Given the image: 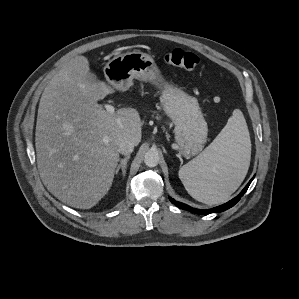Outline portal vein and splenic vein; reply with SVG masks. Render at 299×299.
Masks as SVG:
<instances>
[{"mask_svg":"<svg viewBox=\"0 0 299 299\" xmlns=\"http://www.w3.org/2000/svg\"><path fill=\"white\" fill-rule=\"evenodd\" d=\"M104 107L106 109V111L110 114H114L115 113V108L113 105L111 104H104Z\"/></svg>","mask_w":299,"mask_h":299,"instance_id":"portal-vein-and-splenic-vein-1","label":"portal vein and splenic vein"}]
</instances>
